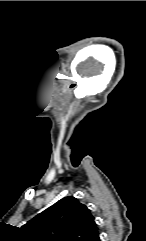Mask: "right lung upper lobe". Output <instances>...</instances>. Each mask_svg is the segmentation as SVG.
I'll return each mask as SVG.
<instances>
[{
	"mask_svg": "<svg viewBox=\"0 0 146 241\" xmlns=\"http://www.w3.org/2000/svg\"><path fill=\"white\" fill-rule=\"evenodd\" d=\"M23 228L30 241H100L90 210L72 196L59 200Z\"/></svg>",
	"mask_w": 146,
	"mask_h": 241,
	"instance_id": "cb5924a9",
	"label": "right lung upper lobe"
}]
</instances>
